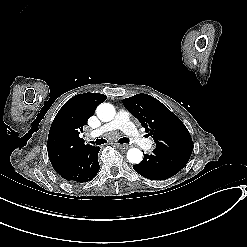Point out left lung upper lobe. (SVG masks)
Listing matches in <instances>:
<instances>
[{
  "label": "left lung upper lobe",
  "mask_w": 247,
  "mask_h": 247,
  "mask_svg": "<svg viewBox=\"0 0 247 247\" xmlns=\"http://www.w3.org/2000/svg\"><path fill=\"white\" fill-rule=\"evenodd\" d=\"M123 105L140 121L147 135L153 137L156 149L188 162L193 150L190 133L164 104L141 93L124 99Z\"/></svg>",
  "instance_id": "5c2ea615"
}]
</instances>
